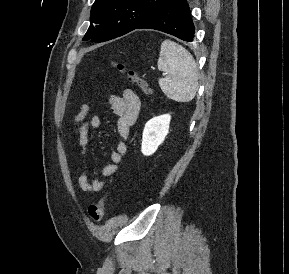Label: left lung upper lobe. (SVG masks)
Returning a JSON list of instances; mask_svg holds the SVG:
<instances>
[{
  "label": "left lung upper lobe",
  "instance_id": "1",
  "mask_svg": "<svg viewBox=\"0 0 289 274\" xmlns=\"http://www.w3.org/2000/svg\"><path fill=\"white\" fill-rule=\"evenodd\" d=\"M166 0H95L83 40L104 42L140 25ZM94 23V24H92Z\"/></svg>",
  "mask_w": 289,
  "mask_h": 274
}]
</instances>
